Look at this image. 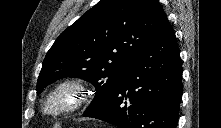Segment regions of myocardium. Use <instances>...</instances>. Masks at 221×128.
<instances>
[{"instance_id": "myocardium-1", "label": "myocardium", "mask_w": 221, "mask_h": 128, "mask_svg": "<svg viewBox=\"0 0 221 128\" xmlns=\"http://www.w3.org/2000/svg\"><path fill=\"white\" fill-rule=\"evenodd\" d=\"M89 94L85 84L80 80H63L50 91L42 107V112L47 116H58L75 111L88 98Z\"/></svg>"}]
</instances>
